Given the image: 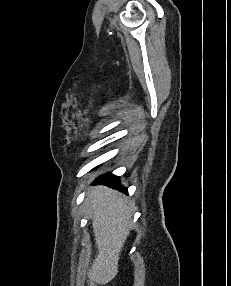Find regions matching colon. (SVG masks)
Listing matches in <instances>:
<instances>
[{
    "label": "colon",
    "mask_w": 231,
    "mask_h": 286,
    "mask_svg": "<svg viewBox=\"0 0 231 286\" xmlns=\"http://www.w3.org/2000/svg\"><path fill=\"white\" fill-rule=\"evenodd\" d=\"M90 286H97V285H95V284H91Z\"/></svg>",
    "instance_id": "obj_1"
}]
</instances>
